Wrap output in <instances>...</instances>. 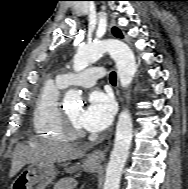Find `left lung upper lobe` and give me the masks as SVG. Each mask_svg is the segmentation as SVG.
<instances>
[{
  "mask_svg": "<svg viewBox=\"0 0 188 189\" xmlns=\"http://www.w3.org/2000/svg\"><path fill=\"white\" fill-rule=\"evenodd\" d=\"M112 33H113L116 37H120V38L123 37V36H122V33L120 32V30L117 29V28H113V29H112Z\"/></svg>",
  "mask_w": 188,
  "mask_h": 189,
  "instance_id": "1",
  "label": "left lung upper lobe"
}]
</instances>
